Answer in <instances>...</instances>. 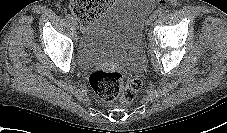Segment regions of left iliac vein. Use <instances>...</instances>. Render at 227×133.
Masks as SVG:
<instances>
[{
    "label": "left iliac vein",
    "mask_w": 227,
    "mask_h": 133,
    "mask_svg": "<svg viewBox=\"0 0 227 133\" xmlns=\"http://www.w3.org/2000/svg\"><path fill=\"white\" fill-rule=\"evenodd\" d=\"M157 18V16L155 14H152L150 17H149V20H148V24H152V22Z\"/></svg>",
    "instance_id": "obj_1"
}]
</instances>
